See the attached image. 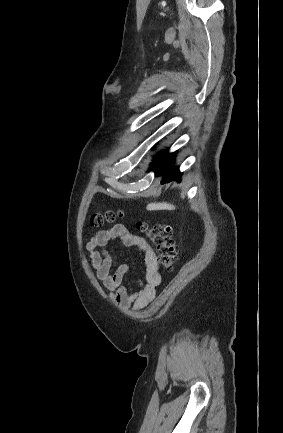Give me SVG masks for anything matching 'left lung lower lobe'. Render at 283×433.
Listing matches in <instances>:
<instances>
[{
    "mask_svg": "<svg viewBox=\"0 0 283 433\" xmlns=\"http://www.w3.org/2000/svg\"><path fill=\"white\" fill-rule=\"evenodd\" d=\"M176 153L167 155V151L159 154L154 158L153 164L150 166V170H154L156 176L164 174L162 183L169 182L172 180L180 181L181 173L177 167H172Z\"/></svg>",
    "mask_w": 283,
    "mask_h": 433,
    "instance_id": "1",
    "label": "left lung lower lobe"
}]
</instances>
